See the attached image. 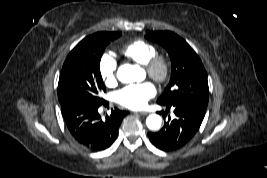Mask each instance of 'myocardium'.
I'll return each instance as SVG.
<instances>
[{
  "label": "myocardium",
  "instance_id": "f54148a6",
  "mask_svg": "<svg viewBox=\"0 0 267 178\" xmlns=\"http://www.w3.org/2000/svg\"><path fill=\"white\" fill-rule=\"evenodd\" d=\"M147 75L157 83L167 81L171 72V63L168 57L163 54H154L145 64H143Z\"/></svg>",
  "mask_w": 267,
  "mask_h": 178
}]
</instances>
